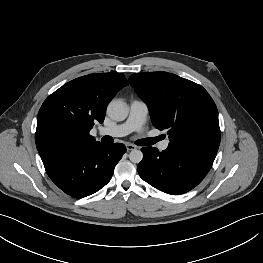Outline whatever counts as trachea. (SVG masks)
<instances>
[{
    "instance_id": "obj_1",
    "label": "trachea",
    "mask_w": 263,
    "mask_h": 263,
    "mask_svg": "<svg viewBox=\"0 0 263 263\" xmlns=\"http://www.w3.org/2000/svg\"><path fill=\"white\" fill-rule=\"evenodd\" d=\"M159 140H160L159 137H156V138L154 139L155 142H157V141H159Z\"/></svg>"
}]
</instances>
